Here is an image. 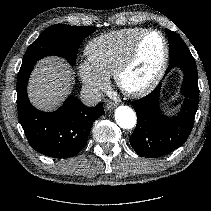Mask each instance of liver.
<instances>
[{
    "label": "liver",
    "instance_id": "obj_1",
    "mask_svg": "<svg viewBox=\"0 0 211 211\" xmlns=\"http://www.w3.org/2000/svg\"><path fill=\"white\" fill-rule=\"evenodd\" d=\"M71 70L57 57L40 60L29 85L30 102L38 109L52 111L59 107L71 90Z\"/></svg>",
    "mask_w": 211,
    "mask_h": 211
}]
</instances>
